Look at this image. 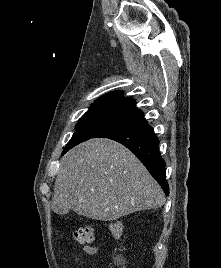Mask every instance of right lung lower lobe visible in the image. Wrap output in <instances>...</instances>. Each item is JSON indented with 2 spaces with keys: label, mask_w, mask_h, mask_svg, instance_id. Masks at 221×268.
Instances as JSON below:
<instances>
[{
  "label": "right lung lower lobe",
  "mask_w": 221,
  "mask_h": 268,
  "mask_svg": "<svg viewBox=\"0 0 221 268\" xmlns=\"http://www.w3.org/2000/svg\"><path fill=\"white\" fill-rule=\"evenodd\" d=\"M94 137L110 138L130 149L161 185L166 195L169 194L165 162L158 150L159 140L143 117L124 122Z\"/></svg>",
  "instance_id": "obj_1"
}]
</instances>
